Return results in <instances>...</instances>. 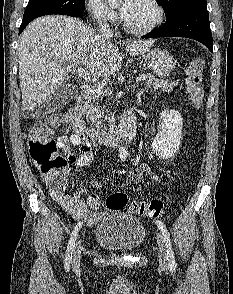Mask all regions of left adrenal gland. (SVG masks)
I'll return each instance as SVG.
<instances>
[{
    "label": "left adrenal gland",
    "instance_id": "a2214340",
    "mask_svg": "<svg viewBox=\"0 0 233 294\" xmlns=\"http://www.w3.org/2000/svg\"><path fill=\"white\" fill-rule=\"evenodd\" d=\"M132 89H133V91L135 90L134 87H132ZM143 92H144L143 89H139V90L137 91V100H138L139 102H141V95L143 94Z\"/></svg>",
    "mask_w": 233,
    "mask_h": 294
}]
</instances>
